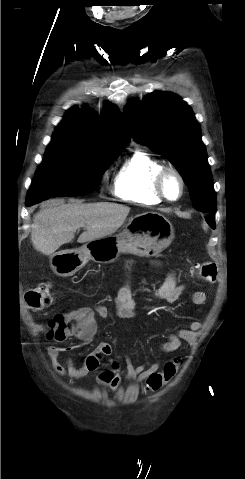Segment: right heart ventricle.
Listing matches in <instances>:
<instances>
[{
    "label": "right heart ventricle",
    "mask_w": 245,
    "mask_h": 479,
    "mask_svg": "<svg viewBox=\"0 0 245 479\" xmlns=\"http://www.w3.org/2000/svg\"><path fill=\"white\" fill-rule=\"evenodd\" d=\"M165 167L164 163L145 150L130 154L118 170L114 193L122 200L156 205L162 199L155 190V177Z\"/></svg>",
    "instance_id": "1"
}]
</instances>
